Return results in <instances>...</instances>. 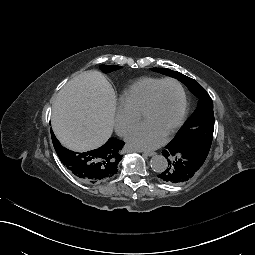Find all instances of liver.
<instances>
[{
    "instance_id": "liver-1",
    "label": "liver",
    "mask_w": 255,
    "mask_h": 255,
    "mask_svg": "<svg viewBox=\"0 0 255 255\" xmlns=\"http://www.w3.org/2000/svg\"><path fill=\"white\" fill-rule=\"evenodd\" d=\"M115 111L112 85L101 72L85 71L68 81L53 101L52 129L67 149L90 151L111 137Z\"/></svg>"
}]
</instances>
